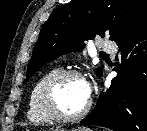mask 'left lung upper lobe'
<instances>
[{
    "label": "left lung upper lobe",
    "mask_w": 147,
    "mask_h": 131,
    "mask_svg": "<svg viewBox=\"0 0 147 131\" xmlns=\"http://www.w3.org/2000/svg\"><path fill=\"white\" fill-rule=\"evenodd\" d=\"M147 25V0H72L55 9L44 23L28 64L26 83L55 58L80 51L99 35L120 44ZM101 68L97 75L101 76Z\"/></svg>",
    "instance_id": "left-lung-upper-lobe-1"
}]
</instances>
